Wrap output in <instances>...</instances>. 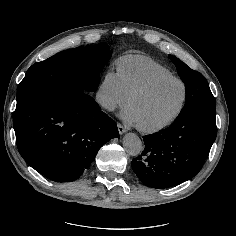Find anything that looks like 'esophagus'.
Here are the masks:
<instances>
[{
	"label": "esophagus",
	"mask_w": 236,
	"mask_h": 236,
	"mask_svg": "<svg viewBox=\"0 0 236 236\" xmlns=\"http://www.w3.org/2000/svg\"><path fill=\"white\" fill-rule=\"evenodd\" d=\"M117 128L120 135H122L125 132V128L120 123H117Z\"/></svg>",
	"instance_id": "esophagus-1"
}]
</instances>
